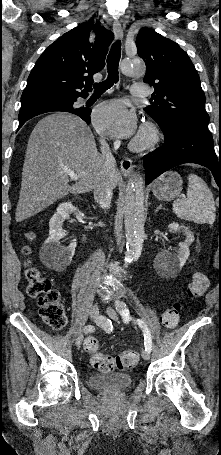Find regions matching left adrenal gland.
I'll list each match as a JSON object with an SVG mask.
<instances>
[{
	"label": "left adrenal gland",
	"instance_id": "a2214340",
	"mask_svg": "<svg viewBox=\"0 0 221 455\" xmlns=\"http://www.w3.org/2000/svg\"><path fill=\"white\" fill-rule=\"evenodd\" d=\"M160 209L165 210V208L162 207V204H160V205L156 208L155 212H157V211L160 210Z\"/></svg>",
	"mask_w": 221,
	"mask_h": 455
}]
</instances>
